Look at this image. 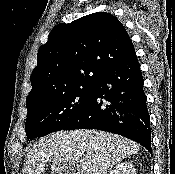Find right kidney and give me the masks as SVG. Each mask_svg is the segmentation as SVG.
<instances>
[{
  "mask_svg": "<svg viewBox=\"0 0 175 174\" xmlns=\"http://www.w3.org/2000/svg\"><path fill=\"white\" fill-rule=\"evenodd\" d=\"M110 174H136V169L130 162H121L111 170Z\"/></svg>",
  "mask_w": 175,
  "mask_h": 174,
  "instance_id": "ca27d5eb",
  "label": "right kidney"
}]
</instances>
